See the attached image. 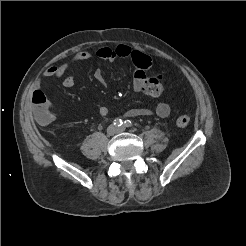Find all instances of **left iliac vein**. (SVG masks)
Masks as SVG:
<instances>
[{"mask_svg": "<svg viewBox=\"0 0 246 246\" xmlns=\"http://www.w3.org/2000/svg\"><path fill=\"white\" fill-rule=\"evenodd\" d=\"M125 130V128L124 127H120V128H118V131L119 132H122V131H124Z\"/></svg>", "mask_w": 246, "mask_h": 246, "instance_id": "left-iliac-vein-1", "label": "left iliac vein"}]
</instances>
